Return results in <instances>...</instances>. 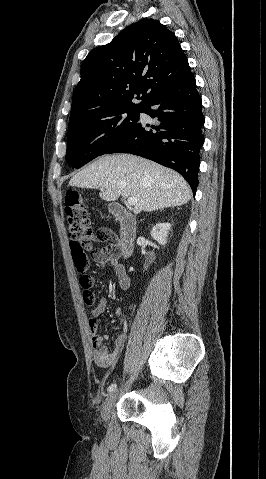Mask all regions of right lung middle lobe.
<instances>
[{"mask_svg":"<svg viewBox=\"0 0 266 479\" xmlns=\"http://www.w3.org/2000/svg\"><path fill=\"white\" fill-rule=\"evenodd\" d=\"M142 107L117 108L69 121L67 162L80 168L105 154L139 121Z\"/></svg>","mask_w":266,"mask_h":479,"instance_id":"right-lung-middle-lobe-1","label":"right lung middle lobe"}]
</instances>
